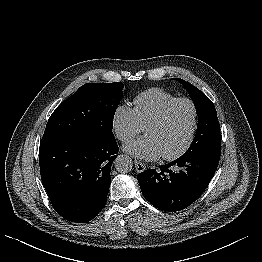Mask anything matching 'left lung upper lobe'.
<instances>
[{"instance_id": "5c2ea615", "label": "left lung upper lobe", "mask_w": 262, "mask_h": 262, "mask_svg": "<svg viewBox=\"0 0 262 262\" xmlns=\"http://www.w3.org/2000/svg\"><path fill=\"white\" fill-rule=\"evenodd\" d=\"M190 94L198 115V126L191 146L184 154L204 151L221 152L220 125L211 100L189 82L177 78Z\"/></svg>"}]
</instances>
